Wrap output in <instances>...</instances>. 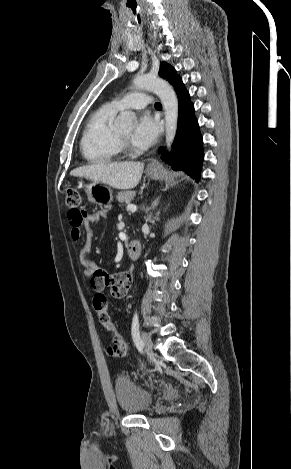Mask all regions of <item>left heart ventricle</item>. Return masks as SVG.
I'll return each instance as SVG.
<instances>
[{
  "label": "left heart ventricle",
  "mask_w": 291,
  "mask_h": 469,
  "mask_svg": "<svg viewBox=\"0 0 291 469\" xmlns=\"http://www.w3.org/2000/svg\"><path fill=\"white\" fill-rule=\"evenodd\" d=\"M119 133L128 138L130 135V130H120Z\"/></svg>",
  "instance_id": "b2bd125f"
}]
</instances>
